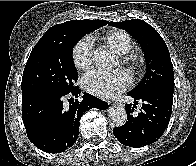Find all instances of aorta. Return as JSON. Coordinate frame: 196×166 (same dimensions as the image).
<instances>
[{
    "label": "aorta",
    "instance_id": "obj_1",
    "mask_svg": "<svg viewBox=\"0 0 196 166\" xmlns=\"http://www.w3.org/2000/svg\"><path fill=\"white\" fill-rule=\"evenodd\" d=\"M95 64L103 68H113L117 61L115 54L108 49H97L93 58ZM108 116L115 126H122L127 121L126 110L122 106H113L108 109Z\"/></svg>",
    "mask_w": 196,
    "mask_h": 166
}]
</instances>
